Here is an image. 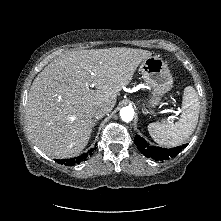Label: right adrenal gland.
Segmentation results:
<instances>
[{
  "instance_id": "right-adrenal-gland-1",
  "label": "right adrenal gland",
  "mask_w": 221,
  "mask_h": 221,
  "mask_svg": "<svg viewBox=\"0 0 221 221\" xmlns=\"http://www.w3.org/2000/svg\"><path fill=\"white\" fill-rule=\"evenodd\" d=\"M97 121H98V119L93 120V127H95Z\"/></svg>"
}]
</instances>
